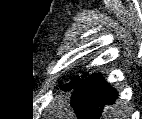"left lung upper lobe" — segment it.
<instances>
[{
	"mask_svg": "<svg viewBox=\"0 0 142 119\" xmlns=\"http://www.w3.org/2000/svg\"><path fill=\"white\" fill-rule=\"evenodd\" d=\"M87 74H83L82 78H84ZM82 81V79L79 76H76L72 79V81L68 84H65L62 88L64 91H70L75 89L79 83Z\"/></svg>",
	"mask_w": 142,
	"mask_h": 119,
	"instance_id": "1",
	"label": "left lung upper lobe"
}]
</instances>
